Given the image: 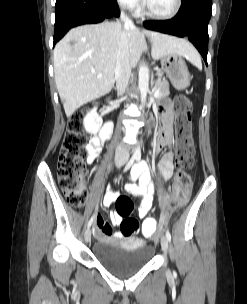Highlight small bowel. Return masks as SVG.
Here are the masks:
<instances>
[{
	"label": "small bowel",
	"instance_id": "c3829d8e",
	"mask_svg": "<svg viewBox=\"0 0 247 304\" xmlns=\"http://www.w3.org/2000/svg\"><path fill=\"white\" fill-rule=\"evenodd\" d=\"M160 113V129L155 137L152 145V151H160L166 147H169L173 142V107L170 101L164 100L159 105ZM112 131L111 122L104 124L98 135L91 137L87 145V162L92 164L101 154V148L103 144L108 140ZM174 170V154L172 151L165 152L159 162V173L164 181L169 180L173 175ZM110 188V186L108 187ZM125 191L140 199L139 216L144 218L150 211L155 188L153 180L150 174L149 167L145 161L133 166L130 173V182L125 186ZM115 198V194L109 191L102 199L104 207H108ZM122 221L116 212L110 213V223L113 225H119ZM93 233L97 238H122L121 232H115L112 234L111 226L103 218L97 217L96 223L93 229Z\"/></svg>",
	"mask_w": 247,
	"mask_h": 304
}]
</instances>
